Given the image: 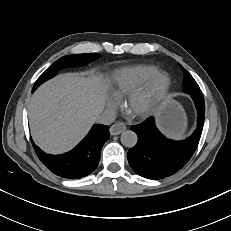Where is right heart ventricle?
Instances as JSON below:
<instances>
[{
    "instance_id": "right-heart-ventricle-1",
    "label": "right heart ventricle",
    "mask_w": 231,
    "mask_h": 231,
    "mask_svg": "<svg viewBox=\"0 0 231 231\" xmlns=\"http://www.w3.org/2000/svg\"><path fill=\"white\" fill-rule=\"evenodd\" d=\"M157 74L153 66L124 67L113 73L111 92L113 97L119 99L128 95L143 82Z\"/></svg>"
}]
</instances>
